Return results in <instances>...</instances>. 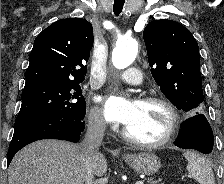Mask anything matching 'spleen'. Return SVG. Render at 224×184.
I'll return each mask as SVG.
<instances>
[{
    "instance_id": "1",
    "label": "spleen",
    "mask_w": 224,
    "mask_h": 184,
    "mask_svg": "<svg viewBox=\"0 0 224 184\" xmlns=\"http://www.w3.org/2000/svg\"><path fill=\"white\" fill-rule=\"evenodd\" d=\"M183 156L187 159L189 174L200 184H215L214 174L206 159L192 151H186Z\"/></svg>"
}]
</instances>
